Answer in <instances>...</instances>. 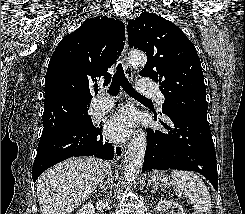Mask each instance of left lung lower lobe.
Segmentation results:
<instances>
[{"label":"left lung lower lobe","instance_id":"1","mask_svg":"<svg viewBox=\"0 0 245 214\" xmlns=\"http://www.w3.org/2000/svg\"><path fill=\"white\" fill-rule=\"evenodd\" d=\"M207 109L190 108L168 115L174 128L168 134L148 129L142 171L191 170L205 176L218 188L217 160L207 121Z\"/></svg>","mask_w":245,"mask_h":214}]
</instances>
